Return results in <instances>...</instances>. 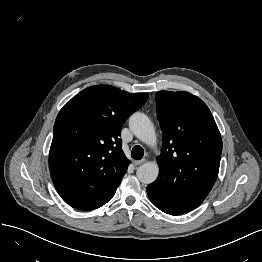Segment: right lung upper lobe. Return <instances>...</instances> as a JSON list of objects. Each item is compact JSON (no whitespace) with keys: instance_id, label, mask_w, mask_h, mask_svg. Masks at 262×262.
Here are the masks:
<instances>
[{"instance_id":"cb5924a9","label":"right lung upper lobe","mask_w":262,"mask_h":262,"mask_svg":"<svg viewBox=\"0 0 262 262\" xmlns=\"http://www.w3.org/2000/svg\"><path fill=\"white\" fill-rule=\"evenodd\" d=\"M147 98L146 93L97 85L82 90L60 110L49 166L67 204L93 210L114 196L129 165L119 138L122 125Z\"/></svg>"}]
</instances>
